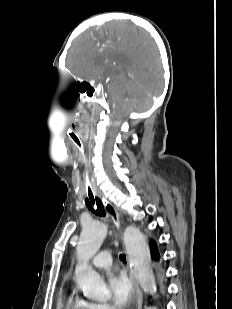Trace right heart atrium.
Returning <instances> with one entry per match:
<instances>
[{"label":"right heart atrium","instance_id":"right-heart-atrium-1","mask_svg":"<svg viewBox=\"0 0 232 309\" xmlns=\"http://www.w3.org/2000/svg\"><path fill=\"white\" fill-rule=\"evenodd\" d=\"M93 309H113V307L107 303H92Z\"/></svg>","mask_w":232,"mask_h":309}]
</instances>
